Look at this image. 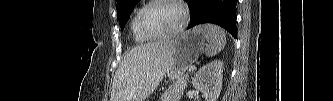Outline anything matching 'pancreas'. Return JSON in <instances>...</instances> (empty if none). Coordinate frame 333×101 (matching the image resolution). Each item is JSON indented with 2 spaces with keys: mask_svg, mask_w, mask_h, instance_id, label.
I'll return each mask as SVG.
<instances>
[{
  "mask_svg": "<svg viewBox=\"0 0 333 101\" xmlns=\"http://www.w3.org/2000/svg\"><path fill=\"white\" fill-rule=\"evenodd\" d=\"M188 76H181L178 81L171 85L161 96V101H179L186 88Z\"/></svg>",
  "mask_w": 333,
  "mask_h": 101,
  "instance_id": "cf45deb5",
  "label": "pancreas"
}]
</instances>
